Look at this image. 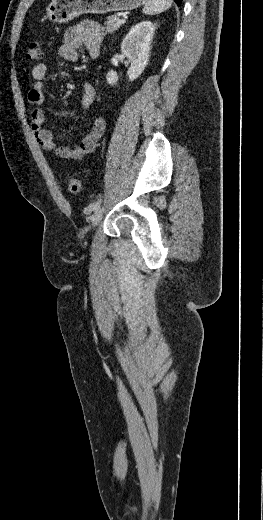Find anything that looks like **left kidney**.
I'll return each mask as SVG.
<instances>
[{
	"label": "left kidney",
	"mask_w": 263,
	"mask_h": 520,
	"mask_svg": "<svg viewBox=\"0 0 263 520\" xmlns=\"http://www.w3.org/2000/svg\"><path fill=\"white\" fill-rule=\"evenodd\" d=\"M154 31L155 26L150 21H142L133 26L123 39L121 51L131 63L127 72L130 81L137 79L148 64ZM106 79L108 84L115 85L118 75L111 70Z\"/></svg>",
	"instance_id": "left-kidney-1"
}]
</instances>
